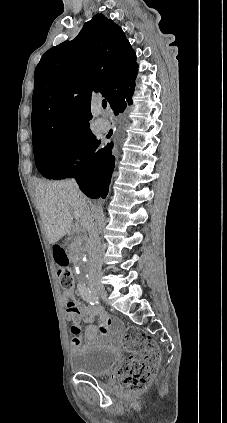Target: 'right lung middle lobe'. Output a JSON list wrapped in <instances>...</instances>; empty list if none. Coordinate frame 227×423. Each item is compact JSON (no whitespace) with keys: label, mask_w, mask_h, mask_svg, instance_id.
Masks as SVG:
<instances>
[{"label":"right lung middle lobe","mask_w":227,"mask_h":423,"mask_svg":"<svg viewBox=\"0 0 227 423\" xmlns=\"http://www.w3.org/2000/svg\"><path fill=\"white\" fill-rule=\"evenodd\" d=\"M94 136L91 133L54 135L33 141L35 163L47 179H65L76 171L74 159H81ZM75 164V165H74Z\"/></svg>","instance_id":"dd1d6c3e"}]
</instances>
